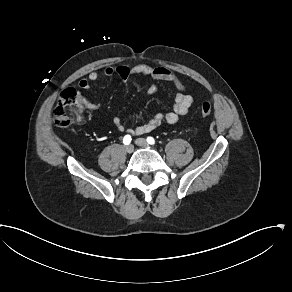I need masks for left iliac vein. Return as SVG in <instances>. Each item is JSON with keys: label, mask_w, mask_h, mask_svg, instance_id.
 I'll return each mask as SVG.
<instances>
[{"label": "left iliac vein", "mask_w": 292, "mask_h": 292, "mask_svg": "<svg viewBox=\"0 0 292 292\" xmlns=\"http://www.w3.org/2000/svg\"><path fill=\"white\" fill-rule=\"evenodd\" d=\"M135 143L138 146H141V147H148V143H147V141L144 138H138V139H136Z\"/></svg>", "instance_id": "obj_1"}]
</instances>
